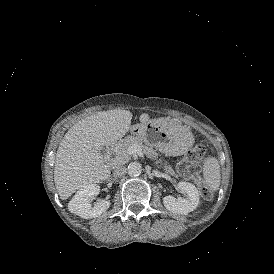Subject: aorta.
Masks as SVG:
<instances>
[{"mask_svg":"<svg viewBox=\"0 0 274 274\" xmlns=\"http://www.w3.org/2000/svg\"><path fill=\"white\" fill-rule=\"evenodd\" d=\"M128 174L130 176H139L141 174V164L138 162H132L128 165Z\"/></svg>","mask_w":274,"mask_h":274,"instance_id":"1","label":"aorta"}]
</instances>
